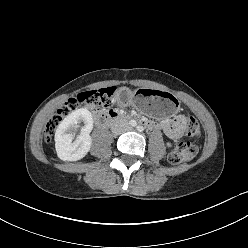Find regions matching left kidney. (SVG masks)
Returning a JSON list of instances; mask_svg holds the SVG:
<instances>
[{
	"mask_svg": "<svg viewBox=\"0 0 248 248\" xmlns=\"http://www.w3.org/2000/svg\"><path fill=\"white\" fill-rule=\"evenodd\" d=\"M167 146H168V147H171V143L168 142V143H167Z\"/></svg>",
	"mask_w": 248,
	"mask_h": 248,
	"instance_id": "left-kidney-1",
	"label": "left kidney"
}]
</instances>
